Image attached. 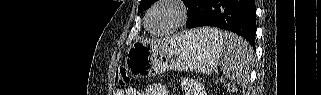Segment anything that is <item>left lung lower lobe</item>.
<instances>
[{"mask_svg": "<svg viewBox=\"0 0 321 95\" xmlns=\"http://www.w3.org/2000/svg\"><path fill=\"white\" fill-rule=\"evenodd\" d=\"M187 7L188 28L214 26L230 30L255 48V0H191Z\"/></svg>", "mask_w": 321, "mask_h": 95, "instance_id": "left-lung-lower-lobe-1", "label": "left lung lower lobe"}]
</instances>
